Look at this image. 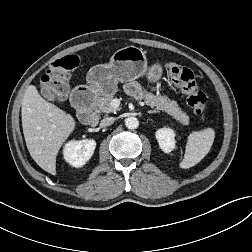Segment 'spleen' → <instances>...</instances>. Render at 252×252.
Returning <instances> with one entry per match:
<instances>
[{"mask_svg":"<svg viewBox=\"0 0 252 252\" xmlns=\"http://www.w3.org/2000/svg\"><path fill=\"white\" fill-rule=\"evenodd\" d=\"M214 138L215 132L212 128L190 133L180 167L188 169L198 164L210 151Z\"/></svg>","mask_w":252,"mask_h":252,"instance_id":"1","label":"spleen"}]
</instances>
